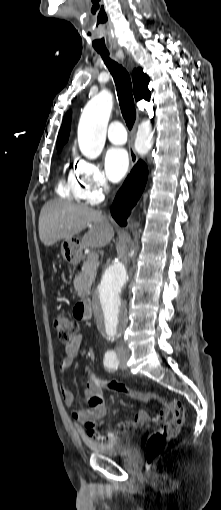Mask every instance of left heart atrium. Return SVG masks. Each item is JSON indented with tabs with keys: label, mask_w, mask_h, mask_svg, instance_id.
Returning <instances> with one entry per match:
<instances>
[{
	"label": "left heart atrium",
	"mask_w": 221,
	"mask_h": 510,
	"mask_svg": "<svg viewBox=\"0 0 221 510\" xmlns=\"http://www.w3.org/2000/svg\"><path fill=\"white\" fill-rule=\"evenodd\" d=\"M105 167L108 177L112 181H120L129 168V156L127 151L119 147L110 148L105 156Z\"/></svg>",
	"instance_id": "obj_1"
}]
</instances>
